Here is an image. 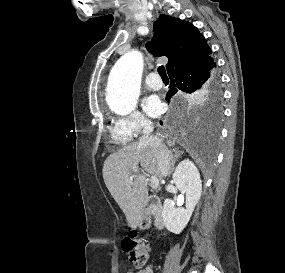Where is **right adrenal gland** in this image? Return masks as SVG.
Wrapping results in <instances>:
<instances>
[{"label": "right adrenal gland", "mask_w": 285, "mask_h": 273, "mask_svg": "<svg viewBox=\"0 0 285 273\" xmlns=\"http://www.w3.org/2000/svg\"><path fill=\"white\" fill-rule=\"evenodd\" d=\"M183 151H180L179 149H173L170 152V156H171V168H170V172L169 175H171L174 171V166H175V162L177 161V159L183 154Z\"/></svg>", "instance_id": "obj_1"}]
</instances>
